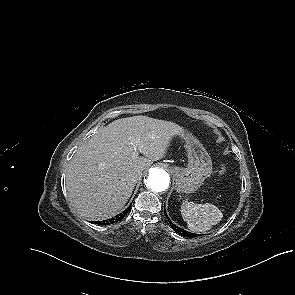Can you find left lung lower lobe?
Wrapping results in <instances>:
<instances>
[{"label":"left lung lower lobe","mask_w":295,"mask_h":295,"mask_svg":"<svg viewBox=\"0 0 295 295\" xmlns=\"http://www.w3.org/2000/svg\"><path fill=\"white\" fill-rule=\"evenodd\" d=\"M164 208H165V206H164ZM164 214H165V216L167 217V219H168V221H169V223H170L172 229H173L176 233H178V234H180V235H182V236H184V237H195V236L199 235V234L190 233V232H188V231H185V230L181 229L180 227L176 226L175 224H173V223L170 221V219L168 218L167 213L165 212V210H164Z\"/></svg>","instance_id":"left-lung-lower-lobe-1"}]
</instances>
